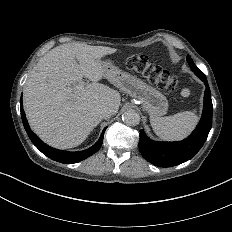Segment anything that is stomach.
<instances>
[{
    "label": "stomach",
    "instance_id": "obj_1",
    "mask_svg": "<svg viewBox=\"0 0 232 232\" xmlns=\"http://www.w3.org/2000/svg\"><path fill=\"white\" fill-rule=\"evenodd\" d=\"M105 67V78L122 92L138 101L144 110L151 116L161 117L168 109L166 97L155 88L147 85L139 78L115 67L111 62L103 63Z\"/></svg>",
    "mask_w": 232,
    "mask_h": 232
}]
</instances>
